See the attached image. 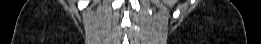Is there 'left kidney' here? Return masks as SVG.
<instances>
[{"label":"left kidney","instance_id":"5707ae66","mask_svg":"<svg viewBox=\"0 0 261 44\" xmlns=\"http://www.w3.org/2000/svg\"><path fill=\"white\" fill-rule=\"evenodd\" d=\"M165 2L168 4V5H173L174 4V0H165Z\"/></svg>","mask_w":261,"mask_h":44}]
</instances>
